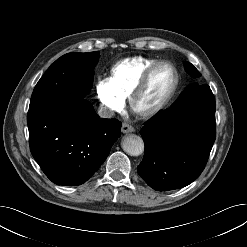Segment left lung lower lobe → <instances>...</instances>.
<instances>
[{
    "label": "left lung lower lobe",
    "instance_id": "1",
    "mask_svg": "<svg viewBox=\"0 0 247 247\" xmlns=\"http://www.w3.org/2000/svg\"><path fill=\"white\" fill-rule=\"evenodd\" d=\"M215 107L210 87L200 85L144 125L145 154L137 169L150 187L174 190L199 177L216 137Z\"/></svg>",
    "mask_w": 247,
    "mask_h": 247
}]
</instances>
